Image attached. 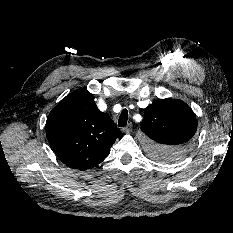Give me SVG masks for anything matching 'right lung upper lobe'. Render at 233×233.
Returning a JSON list of instances; mask_svg holds the SVG:
<instances>
[{
    "label": "right lung upper lobe",
    "instance_id": "right-lung-upper-lobe-1",
    "mask_svg": "<svg viewBox=\"0 0 233 233\" xmlns=\"http://www.w3.org/2000/svg\"><path fill=\"white\" fill-rule=\"evenodd\" d=\"M46 135L59 159L79 170L102 162L116 138L122 137L121 131L97 108L86 89L70 93L50 112Z\"/></svg>",
    "mask_w": 233,
    "mask_h": 233
}]
</instances>
